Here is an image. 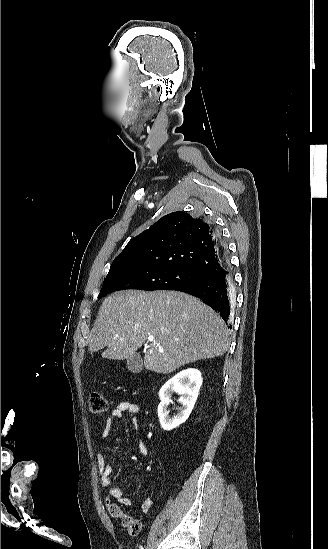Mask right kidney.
Masks as SVG:
<instances>
[{
    "label": "right kidney",
    "instance_id": "1",
    "mask_svg": "<svg viewBox=\"0 0 328 549\" xmlns=\"http://www.w3.org/2000/svg\"><path fill=\"white\" fill-rule=\"evenodd\" d=\"M202 385V377L198 369H186V371H180L175 377L169 379L159 391V399L161 403L158 405V417L160 419V425L164 431H172L179 427L181 423L187 421L198 397L199 389ZM172 393H180V395H186L179 399L183 405V409L180 415H176L173 419L167 417L169 411L167 409L171 401Z\"/></svg>",
    "mask_w": 328,
    "mask_h": 549
}]
</instances>
